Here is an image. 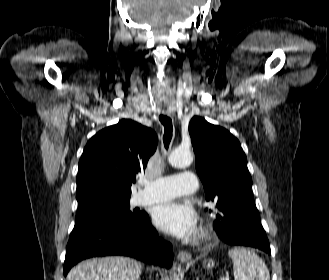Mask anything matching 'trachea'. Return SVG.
<instances>
[{
    "label": "trachea",
    "mask_w": 329,
    "mask_h": 280,
    "mask_svg": "<svg viewBox=\"0 0 329 280\" xmlns=\"http://www.w3.org/2000/svg\"><path fill=\"white\" fill-rule=\"evenodd\" d=\"M159 120L161 124L164 126L163 142L165 148L168 149L173 133L172 121L166 115H160Z\"/></svg>",
    "instance_id": "3493384b"
}]
</instances>
